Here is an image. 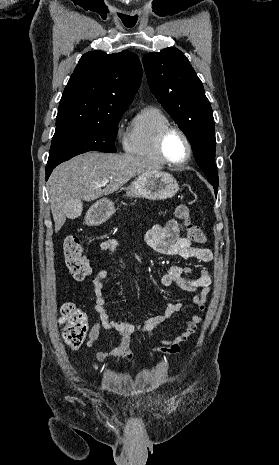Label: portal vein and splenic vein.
Instances as JSON below:
<instances>
[{
  "label": "portal vein and splenic vein",
  "instance_id": "1",
  "mask_svg": "<svg viewBox=\"0 0 279 465\" xmlns=\"http://www.w3.org/2000/svg\"><path fill=\"white\" fill-rule=\"evenodd\" d=\"M108 183V180L103 181L101 184H99L100 187L105 186Z\"/></svg>",
  "mask_w": 279,
  "mask_h": 465
}]
</instances>
